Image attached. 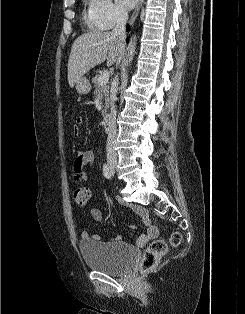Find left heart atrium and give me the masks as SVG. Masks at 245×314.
<instances>
[{"mask_svg": "<svg viewBox=\"0 0 245 314\" xmlns=\"http://www.w3.org/2000/svg\"><path fill=\"white\" fill-rule=\"evenodd\" d=\"M117 2L121 7L125 8V9H130V8L134 7L137 0H117Z\"/></svg>", "mask_w": 245, "mask_h": 314, "instance_id": "left-heart-atrium-1", "label": "left heart atrium"}]
</instances>
